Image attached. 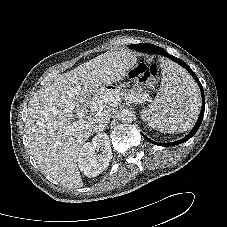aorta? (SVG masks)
Masks as SVG:
<instances>
[{
  "instance_id": "obj_1",
  "label": "aorta",
  "mask_w": 227,
  "mask_h": 227,
  "mask_svg": "<svg viewBox=\"0 0 227 227\" xmlns=\"http://www.w3.org/2000/svg\"><path fill=\"white\" fill-rule=\"evenodd\" d=\"M118 119L123 123H130L134 119V112L128 108L121 109L118 112Z\"/></svg>"
}]
</instances>
